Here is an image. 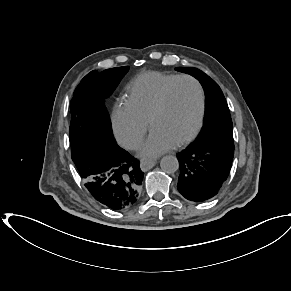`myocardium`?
<instances>
[{
	"instance_id": "f54148a6",
	"label": "myocardium",
	"mask_w": 291,
	"mask_h": 291,
	"mask_svg": "<svg viewBox=\"0 0 291 291\" xmlns=\"http://www.w3.org/2000/svg\"><path fill=\"white\" fill-rule=\"evenodd\" d=\"M182 80H189L196 85L199 92V97H200V110H199L198 121L195 128L191 131L189 135H187L185 138H183L178 143H176L175 147H182V146L187 145L188 143H190L196 138V136L199 134V132L202 129L204 119H205V114H206V95H205V91L201 82L197 78L191 75H178L162 90L160 97L158 99V102L155 105L154 109L152 110L149 116V120H148L149 126L152 128L154 120L158 117L159 114L162 113V111L165 109L167 105V100H168L170 91L178 82Z\"/></svg>"
}]
</instances>
